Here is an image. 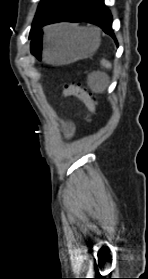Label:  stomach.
<instances>
[{
  "instance_id": "stomach-1",
  "label": "stomach",
  "mask_w": 148,
  "mask_h": 279,
  "mask_svg": "<svg viewBox=\"0 0 148 279\" xmlns=\"http://www.w3.org/2000/svg\"><path fill=\"white\" fill-rule=\"evenodd\" d=\"M37 44H30L29 55L35 63L44 66L65 64L86 58L94 53L100 44V35L83 33L80 28L59 25L51 28L47 34H35Z\"/></svg>"
}]
</instances>
